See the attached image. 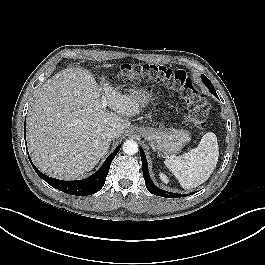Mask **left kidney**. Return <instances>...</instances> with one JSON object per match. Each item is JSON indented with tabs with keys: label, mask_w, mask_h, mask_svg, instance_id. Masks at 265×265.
<instances>
[{
	"label": "left kidney",
	"mask_w": 265,
	"mask_h": 265,
	"mask_svg": "<svg viewBox=\"0 0 265 265\" xmlns=\"http://www.w3.org/2000/svg\"><path fill=\"white\" fill-rule=\"evenodd\" d=\"M160 178L164 183H168L169 179L167 178V176L163 173L160 174Z\"/></svg>",
	"instance_id": "left-kidney-1"
}]
</instances>
